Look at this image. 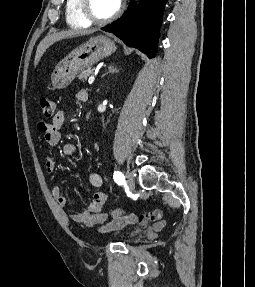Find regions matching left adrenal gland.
<instances>
[{"instance_id":"left-adrenal-gland-1","label":"left adrenal gland","mask_w":255,"mask_h":287,"mask_svg":"<svg viewBox=\"0 0 255 287\" xmlns=\"http://www.w3.org/2000/svg\"><path fill=\"white\" fill-rule=\"evenodd\" d=\"M116 72H119L117 68H114V66H109L107 74H116Z\"/></svg>"}]
</instances>
